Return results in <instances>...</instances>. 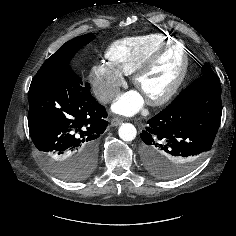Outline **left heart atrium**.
Wrapping results in <instances>:
<instances>
[{
  "instance_id": "obj_1",
  "label": "left heart atrium",
  "mask_w": 236,
  "mask_h": 236,
  "mask_svg": "<svg viewBox=\"0 0 236 236\" xmlns=\"http://www.w3.org/2000/svg\"><path fill=\"white\" fill-rule=\"evenodd\" d=\"M143 105V96L137 91H129L120 96L113 104V111L123 115H133Z\"/></svg>"
}]
</instances>
